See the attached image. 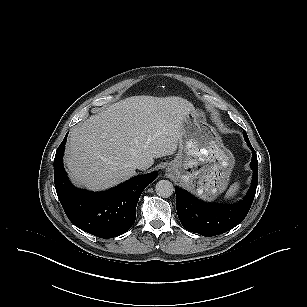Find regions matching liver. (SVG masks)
<instances>
[{"label":"liver","mask_w":307,"mask_h":307,"mask_svg":"<svg viewBox=\"0 0 307 307\" xmlns=\"http://www.w3.org/2000/svg\"><path fill=\"white\" fill-rule=\"evenodd\" d=\"M194 109L180 97L133 96L92 115L70 131L65 163L71 179L105 190L134 176L136 161L150 167L155 158L174 154L182 121Z\"/></svg>","instance_id":"liver-1"}]
</instances>
